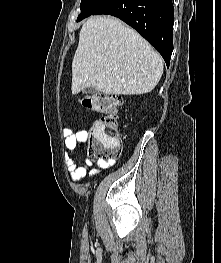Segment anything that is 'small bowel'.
<instances>
[{"label": "small bowel", "instance_id": "1", "mask_svg": "<svg viewBox=\"0 0 221 263\" xmlns=\"http://www.w3.org/2000/svg\"><path fill=\"white\" fill-rule=\"evenodd\" d=\"M63 135L65 137L66 149L74 153L77 158L81 156V145L88 139V132L85 130L72 131L71 129H64ZM68 167L70 176L73 181H79L85 177H93L97 175L102 169L112 167L116 161L110 160H98L97 168L93 167V163L89 160L85 161L83 165H77L73 159H68Z\"/></svg>", "mask_w": 221, "mask_h": 263}]
</instances>
